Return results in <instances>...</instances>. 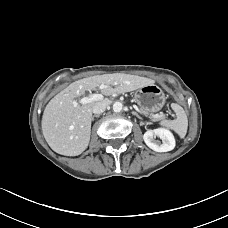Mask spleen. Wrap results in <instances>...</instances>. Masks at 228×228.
<instances>
[{
  "mask_svg": "<svg viewBox=\"0 0 228 228\" xmlns=\"http://www.w3.org/2000/svg\"><path fill=\"white\" fill-rule=\"evenodd\" d=\"M172 109L176 113V119L174 120H163L160 125L175 131L180 138H184L187 133L188 119L184 109L176 104H171Z\"/></svg>",
  "mask_w": 228,
  "mask_h": 228,
  "instance_id": "1",
  "label": "spleen"
}]
</instances>
